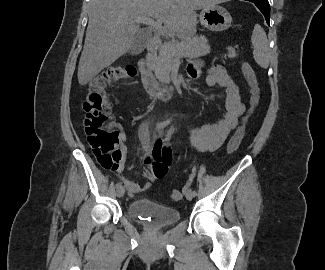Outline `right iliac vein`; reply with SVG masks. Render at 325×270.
I'll list each match as a JSON object with an SVG mask.
<instances>
[{
	"label": "right iliac vein",
	"mask_w": 325,
	"mask_h": 270,
	"mask_svg": "<svg viewBox=\"0 0 325 270\" xmlns=\"http://www.w3.org/2000/svg\"><path fill=\"white\" fill-rule=\"evenodd\" d=\"M125 193V188L123 186L117 188V191H116V194H117V197H122Z\"/></svg>",
	"instance_id": "63e3f726"
}]
</instances>
